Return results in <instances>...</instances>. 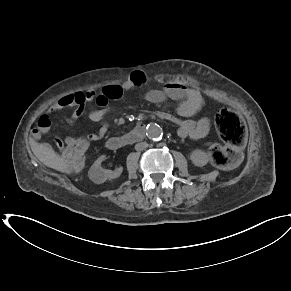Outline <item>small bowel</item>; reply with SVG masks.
Listing matches in <instances>:
<instances>
[{
  "label": "small bowel",
  "instance_id": "obj_1",
  "mask_svg": "<svg viewBox=\"0 0 291 291\" xmlns=\"http://www.w3.org/2000/svg\"><path fill=\"white\" fill-rule=\"evenodd\" d=\"M147 75L142 71L132 72L129 77L121 83H110L98 90L91 88L86 91H78L73 96L76 108L71 114L69 121L72 123L80 118L84 113L85 104L87 102H95L97 109L89 113V119L93 122L99 123L100 127L97 132L82 136L87 144L93 141H99L107 136L109 124L105 121L108 113V103L112 100L120 99L124 93L141 87L147 82ZM146 100L153 104H161L168 98L174 100H181L177 108L178 116H172L166 111L160 113H150L142 110L141 114L149 118H160L161 120H168L178 125V135L180 137L200 139L205 137L210 129V120L203 117L198 121H194L191 117L201 108L203 98L200 92L196 89L189 88L177 82H170L164 90L152 89L146 93ZM61 101V100H60ZM60 101L51 106L47 113L42 114L37 122V127L32 131V138L35 144L39 143L42 135L47 134L51 127L49 114L56 112L67 106H61ZM75 137L67 136L64 142L68 143ZM62 140L57 139L56 145L59 150H63L65 145ZM41 148L46 146L41 145Z\"/></svg>",
  "mask_w": 291,
  "mask_h": 291
}]
</instances>
